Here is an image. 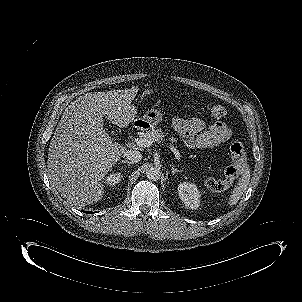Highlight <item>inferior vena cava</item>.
Masks as SVG:
<instances>
[{
	"label": "inferior vena cava",
	"instance_id": "1",
	"mask_svg": "<svg viewBox=\"0 0 302 302\" xmlns=\"http://www.w3.org/2000/svg\"><path fill=\"white\" fill-rule=\"evenodd\" d=\"M124 158L131 163H138L142 159V154L133 149H126L123 152Z\"/></svg>",
	"mask_w": 302,
	"mask_h": 302
}]
</instances>
